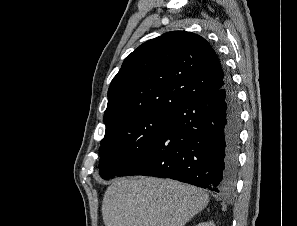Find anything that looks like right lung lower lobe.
Segmentation results:
<instances>
[{"label": "right lung lower lobe", "mask_w": 297, "mask_h": 226, "mask_svg": "<svg viewBox=\"0 0 297 226\" xmlns=\"http://www.w3.org/2000/svg\"><path fill=\"white\" fill-rule=\"evenodd\" d=\"M240 105L226 74L222 88L182 104L149 146L116 176L171 178L214 192L231 191L238 169Z\"/></svg>", "instance_id": "obj_1"}]
</instances>
